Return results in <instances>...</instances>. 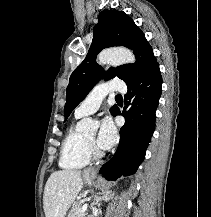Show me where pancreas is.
Wrapping results in <instances>:
<instances>
[{
  "label": "pancreas",
  "mask_w": 211,
  "mask_h": 217,
  "mask_svg": "<svg viewBox=\"0 0 211 217\" xmlns=\"http://www.w3.org/2000/svg\"><path fill=\"white\" fill-rule=\"evenodd\" d=\"M86 213L81 211V203H75L69 217H85Z\"/></svg>",
  "instance_id": "obj_1"
}]
</instances>
